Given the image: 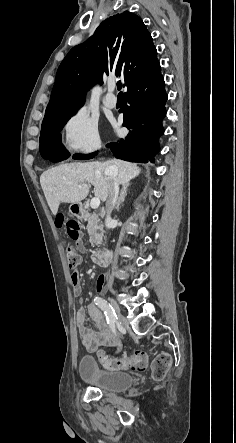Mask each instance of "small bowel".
Wrapping results in <instances>:
<instances>
[{"instance_id":"obj_1","label":"small bowel","mask_w":236,"mask_h":443,"mask_svg":"<svg viewBox=\"0 0 236 443\" xmlns=\"http://www.w3.org/2000/svg\"><path fill=\"white\" fill-rule=\"evenodd\" d=\"M77 248L80 251L85 250V246L81 240H78ZM74 272L76 273L77 280L76 282L72 280L73 291L75 295H79L82 291V288L78 274L76 271ZM105 280L106 278L104 275H101L98 278L96 283V292L100 293L105 289ZM86 313H88L93 325L96 327V330H91L85 327L84 324ZM76 324L80 329L82 344L86 347V349L93 351L97 348L99 344L107 347H113L116 344V337L113 334V331L111 330L106 317L95 304H89L86 309L83 306L80 307L76 314Z\"/></svg>"}]
</instances>
